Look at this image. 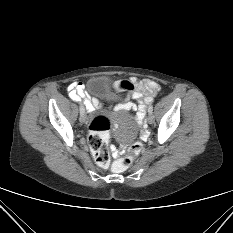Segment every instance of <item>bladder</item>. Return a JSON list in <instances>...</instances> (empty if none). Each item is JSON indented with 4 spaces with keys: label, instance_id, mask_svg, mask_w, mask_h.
<instances>
[{
    "label": "bladder",
    "instance_id": "31cf9c89",
    "mask_svg": "<svg viewBox=\"0 0 233 233\" xmlns=\"http://www.w3.org/2000/svg\"><path fill=\"white\" fill-rule=\"evenodd\" d=\"M88 91L97 97L104 99H118L120 92L116 89L111 80L106 76H95L88 80Z\"/></svg>",
    "mask_w": 233,
    "mask_h": 233
}]
</instances>
